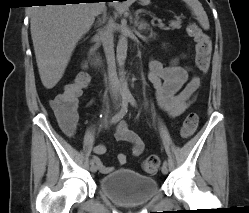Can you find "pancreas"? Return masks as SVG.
<instances>
[{
    "label": "pancreas",
    "mask_w": 249,
    "mask_h": 213,
    "mask_svg": "<svg viewBox=\"0 0 249 213\" xmlns=\"http://www.w3.org/2000/svg\"><path fill=\"white\" fill-rule=\"evenodd\" d=\"M169 29H180L181 28V21L177 20V21H172L169 25Z\"/></svg>",
    "instance_id": "cf45deb5"
}]
</instances>
